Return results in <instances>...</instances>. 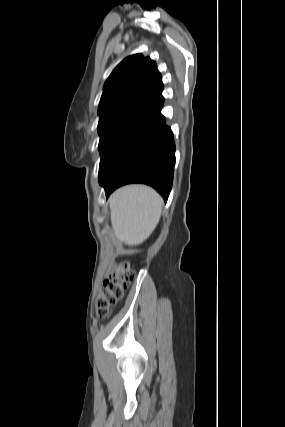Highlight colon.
Wrapping results in <instances>:
<instances>
[{
    "label": "colon",
    "mask_w": 285,
    "mask_h": 427,
    "mask_svg": "<svg viewBox=\"0 0 285 427\" xmlns=\"http://www.w3.org/2000/svg\"><path fill=\"white\" fill-rule=\"evenodd\" d=\"M133 275L130 266L125 262L118 263L112 268L96 299V311L99 317H106L110 307L122 298L133 279Z\"/></svg>",
    "instance_id": "5ec220e1"
}]
</instances>
